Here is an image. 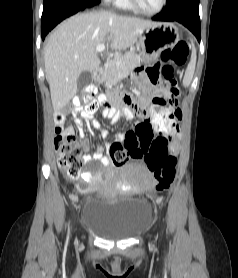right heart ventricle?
<instances>
[{"label": "right heart ventricle", "instance_id": "right-heart-ventricle-1", "mask_svg": "<svg viewBox=\"0 0 238 278\" xmlns=\"http://www.w3.org/2000/svg\"><path fill=\"white\" fill-rule=\"evenodd\" d=\"M118 5H119L121 8H124V9L130 8V4H129L128 0H120V1L118 2Z\"/></svg>", "mask_w": 238, "mask_h": 278}]
</instances>
